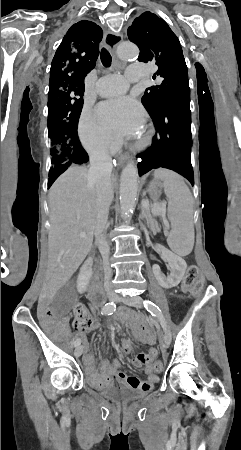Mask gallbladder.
Listing matches in <instances>:
<instances>
[{"mask_svg":"<svg viewBox=\"0 0 241 450\" xmlns=\"http://www.w3.org/2000/svg\"><path fill=\"white\" fill-rule=\"evenodd\" d=\"M73 281H65L63 286L59 287V291L56 293L57 301L52 302V309L55 313L57 320H64L66 315H70L74 305L77 303L76 288L77 280L76 276L72 277Z\"/></svg>","mask_w":241,"mask_h":450,"instance_id":"bac80fb5","label":"gallbladder"}]
</instances>
